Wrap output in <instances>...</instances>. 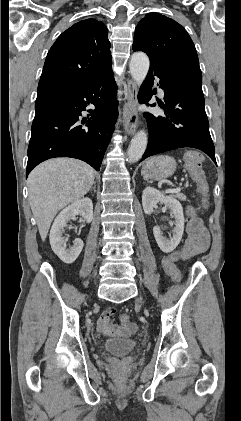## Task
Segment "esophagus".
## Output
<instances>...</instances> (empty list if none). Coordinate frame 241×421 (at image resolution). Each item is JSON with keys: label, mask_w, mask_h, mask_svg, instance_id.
Masks as SVG:
<instances>
[{"label": "esophagus", "mask_w": 241, "mask_h": 421, "mask_svg": "<svg viewBox=\"0 0 241 421\" xmlns=\"http://www.w3.org/2000/svg\"><path fill=\"white\" fill-rule=\"evenodd\" d=\"M137 86L132 79L128 80V93L125 102L124 124L123 127L128 135H133L137 128L138 112H137Z\"/></svg>", "instance_id": "esophagus-1"}]
</instances>
